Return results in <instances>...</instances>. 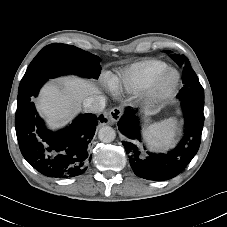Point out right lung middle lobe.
Returning <instances> with one entry per match:
<instances>
[{
	"label": "right lung middle lobe",
	"mask_w": 227,
	"mask_h": 227,
	"mask_svg": "<svg viewBox=\"0 0 227 227\" xmlns=\"http://www.w3.org/2000/svg\"><path fill=\"white\" fill-rule=\"evenodd\" d=\"M99 61V57L75 46L50 44L32 60L20 82L18 92L38 81L65 74L98 79L101 71Z\"/></svg>",
	"instance_id": "right-lung-middle-lobe-1"
}]
</instances>
